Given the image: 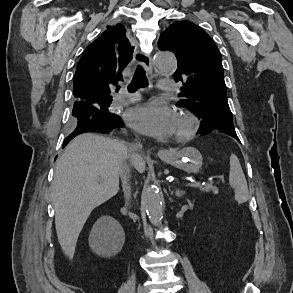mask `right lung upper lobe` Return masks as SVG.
Returning <instances> with one entry per match:
<instances>
[{
	"label": "right lung upper lobe",
	"mask_w": 293,
	"mask_h": 293,
	"mask_svg": "<svg viewBox=\"0 0 293 293\" xmlns=\"http://www.w3.org/2000/svg\"><path fill=\"white\" fill-rule=\"evenodd\" d=\"M134 47L122 24L107 26L79 60L74 75L76 101L95 104L99 98L112 100V92L123 79L122 71L132 59Z\"/></svg>",
	"instance_id": "obj_1"
}]
</instances>
